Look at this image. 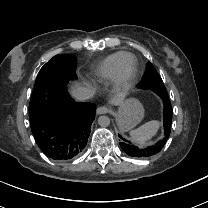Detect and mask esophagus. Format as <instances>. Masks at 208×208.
Segmentation results:
<instances>
[{
  "label": "esophagus",
  "instance_id": "34e87169",
  "mask_svg": "<svg viewBox=\"0 0 208 208\" xmlns=\"http://www.w3.org/2000/svg\"><path fill=\"white\" fill-rule=\"evenodd\" d=\"M109 112H110L109 108H107L105 106H101V107L97 108V114H106Z\"/></svg>",
  "mask_w": 208,
  "mask_h": 208
}]
</instances>
